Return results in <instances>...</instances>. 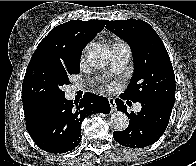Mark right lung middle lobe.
<instances>
[{
	"label": "right lung middle lobe",
	"mask_w": 196,
	"mask_h": 166,
	"mask_svg": "<svg viewBox=\"0 0 196 166\" xmlns=\"http://www.w3.org/2000/svg\"><path fill=\"white\" fill-rule=\"evenodd\" d=\"M80 64L64 66L45 57H32L22 84V102L65 96L69 75L78 74Z\"/></svg>",
	"instance_id": "obj_1"
}]
</instances>
